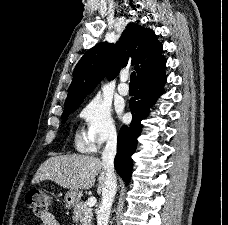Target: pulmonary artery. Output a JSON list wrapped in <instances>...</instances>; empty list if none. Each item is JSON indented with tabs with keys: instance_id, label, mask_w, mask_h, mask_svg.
<instances>
[{
	"instance_id": "1",
	"label": "pulmonary artery",
	"mask_w": 228,
	"mask_h": 225,
	"mask_svg": "<svg viewBox=\"0 0 228 225\" xmlns=\"http://www.w3.org/2000/svg\"><path fill=\"white\" fill-rule=\"evenodd\" d=\"M118 93L121 96H127L129 94V87H128V84L126 83L125 77L122 79V82L118 85Z\"/></svg>"
}]
</instances>
